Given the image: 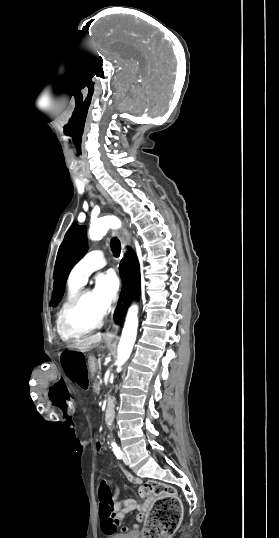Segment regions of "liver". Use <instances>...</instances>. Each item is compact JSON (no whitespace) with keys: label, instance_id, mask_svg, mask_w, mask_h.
Segmentation results:
<instances>
[{"label":"liver","instance_id":"6515ba94","mask_svg":"<svg viewBox=\"0 0 279 538\" xmlns=\"http://www.w3.org/2000/svg\"><path fill=\"white\" fill-rule=\"evenodd\" d=\"M98 342H101V334H96V336H90V338H87L81 346H78V350H81V352H87L88 348H93L92 344H98Z\"/></svg>","mask_w":279,"mask_h":538}]
</instances>
